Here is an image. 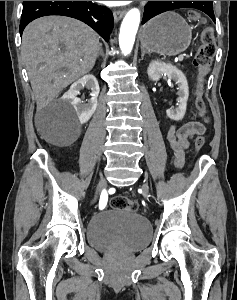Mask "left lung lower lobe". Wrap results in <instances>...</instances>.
Wrapping results in <instances>:
<instances>
[{"instance_id":"obj_1","label":"left lung lower lobe","mask_w":237,"mask_h":300,"mask_svg":"<svg viewBox=\"0 0 237 300\" xmlns=\"http://www.w3.org/2000/svg\"><path fill=\"white\" fill-rule=\"evenodd\" d=\"M204 3H205V5L202 6V8L200 10L205 12L207 15H209L211 17V19L215 22L212 1H204ZM174 4H176V3H174Z\"/></svg>"}]
</instances>
